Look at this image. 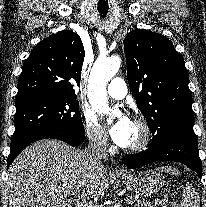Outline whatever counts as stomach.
I'll return each instance as SVG.
<instances>
[{
  "mask_svg": "<svg viewBox=\"0 0 206 207\" xmlns=\"http://www.w3.org/2000/svg\"><path fill=\"white\" fill-rule=\"evenodd\" d=\"M120 184L143 197H151L159 192L164 184L163 176L155 170H140L118 177Z\"/></svg>",
  "mask_w": 206,
  "mask_h": 207,
  "instance_id": "stomach-1",
  "label": "stomach"
}]
</instances>
